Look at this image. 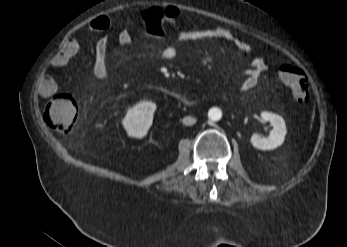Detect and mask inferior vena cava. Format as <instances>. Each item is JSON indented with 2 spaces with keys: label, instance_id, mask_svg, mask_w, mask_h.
<instances>
[{
  "label": "inferior vena cava",
  "instance_id": "obj_1",
  "mask_svg": "<svg viewBox=\"0 0 347 247\" xmlns=\"http://www.w3.org/2000/svg\"><path fill=\"white\" fill-rule=\"evenodd\" d=\"M184 125H193L196 123V118L191 117V116H186L182 120Z\"/></svg>",
  "mask_w": 347,
  "mask_h": 247
}]
</instances>
